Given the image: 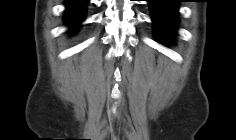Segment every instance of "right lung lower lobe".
<instances>
[{
  "mask_svg": "<svg viewBox=\"0 0 236 140\" xmlns=\"http://www.w3.org/2000/svg\"><path fill=\"white\" fill-rule=\"evenodd\" d=\"M87 3V0H65V18L72 30L84 19Z\"/></svg>",
  "mask_w": 236,
  "mask_h": 140,
  "instance_id": "right-lung-lower-lobe-1",
  "label": "right lung lower lobe"
}]
</instances>
